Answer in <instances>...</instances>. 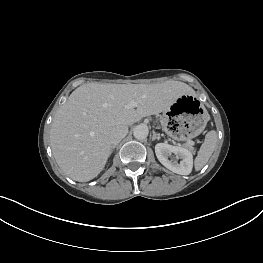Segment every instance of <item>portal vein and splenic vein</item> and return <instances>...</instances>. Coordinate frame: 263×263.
<instances>
[{"label":"portal vein and splenic vein","mask_w":263,"mask_h":263,"mask_svg":"<svg viewBox=\"0 0 263 263\" xmlns=\"http://www.w3.org/2000/svg\"><path fill=\"white\" fill-rule=\"evenodd\" d=\"M136 106H137V103H136L135 101H131V102H129V103L126 105V108L130 109V108H134V107H136ZM187 144L193 145L194 142L191 141V140H188V141H187Z\"/></svg>","instance_id":"18ae733b"}]
</instances>
